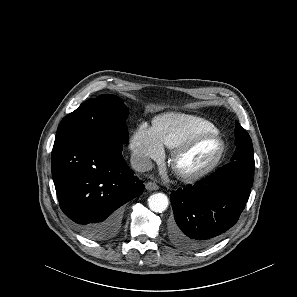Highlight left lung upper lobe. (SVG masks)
Masks as SVG:
<instances>
[{
    "label": "left lung upper lobe",
    "mask_w": 297,
    "mask_h": 297,
    "mask_svg": "<svg viewBox=\"0 0 297 297\" xmlns=\"http://www.w3.org/2000/svg\"><path fill=\"white\" fill-rule=\"evenodd\" d=\"M235 136L236 150L231 158V161H254L252 140L247 131L242 128L237 121L235 126Z\"/></svg>",
    "instance_id": "left-lung-upper-lobe-1"
}]
</instances>
